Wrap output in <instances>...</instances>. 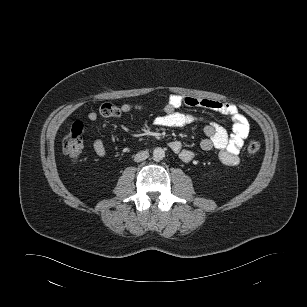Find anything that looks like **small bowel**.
<instances>
[{"label": "small bowel", "instance_id": "small-bowel-1", "mask_svg": "<svg viewBox=\"0 0 307 307\" xmlns=\"http://www.w3.org/2000/svg\"><path fill=\"white\" fill-rule=\"evenodd\" d=\"M183 105L206 108L231 118L233 123L231 135L221 125L214 122L207 123L204 127L206 137L201 141L200 146L204 151L216 150L221 162L225 165H237L240 150L250 131L248 120L239 112L237 106L230 102L173 94L165 105L164 114L154 119L155 125L160 127H183L201 120L198 116L180 111L179 109ZM141 108V104L135 103H124L122 105L105 103L99 108L98 112L91 111L87 114V122L94 123L99 116L106 118L120 117L122 114L140 110ZM169 147L179 155L183 162H190L194 157L193 151L184 148L180 141H171ZM93 149L99 157H106L107 151L102 140L96 139L93 142Z\"/></svg>", "mask_w": 307, "mask_h": 307}]
</instances>
